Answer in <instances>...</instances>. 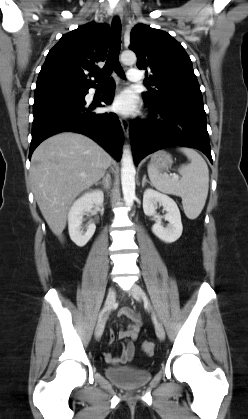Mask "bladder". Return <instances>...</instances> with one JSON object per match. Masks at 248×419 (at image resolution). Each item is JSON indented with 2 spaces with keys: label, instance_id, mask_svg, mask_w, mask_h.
<instances>
[{
  "label": "bladder",
  "instance_id": "bladder-1",
  "mask_svg": "<svg viewBox=\"0 0 248 419\" xmlns=\"http://www.w3.org/2000/svg\"><path fill=\"white\" fill-rule=\"evenodd\" d=\"M104 373L110 381L125 389L143 387L152 378V373L149 369L133 366L107 367Z\"/></svg>",
  "mask_w": 248,
  "mask_h": 419
}]
</instances>
